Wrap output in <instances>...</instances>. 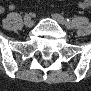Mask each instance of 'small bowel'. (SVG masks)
<instances>
[{
  "label": "small bowel",
  "instance_id": "small-bowel-1",
  "mask_svg": "<svg viewBox=\"0 0 91 91\" xmlns=\"http://www.w3.org/2000/svg\"><path fill=\"white\" fill-rule=\"evenodd\" d=\"M91 6V2L89 0H83L81 3H80V8L82 9H88L90 8ZM11 8H14L13 6Z\"/></svg>",
  "mask_w": 91,
  "mask_h": 91
}]
</instances>
